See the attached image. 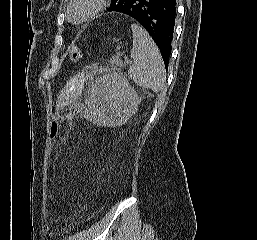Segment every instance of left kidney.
I'll list each match as a JSON object with an SVG mask.
<instances>
[{"mask_svg": "<svg viewBox=\"0 0 257 240\" xmlns=\"http://www.w3.org/2000/svg\"><path fill=\"white\" fill-rule=\"evenodd\" d=\"M90 103L89 119L94 124L117 127L135 114L139 97L122 75L113 74L96 81Z\"/></svg>", "mask_w": 257, "mask_h": 240, "instance_id": "5707ae66", "label": "left kidney"}]
</instances>
